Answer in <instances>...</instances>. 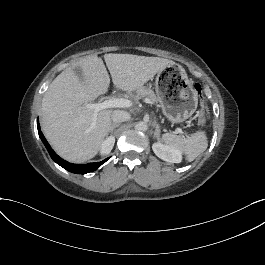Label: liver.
<instances>
[{
	"mask_svg": "<svg viewBox=\"0 0 265 265\" xmlns=\"http://www.w3.org/2000/svg\"><path fill=\"white\" fill-rule=\"evenodd\" d=\"M104 60L118 89L132 92L142 87L172 60L132 54H105ZM80 67L83 80L75 74ZM110 77L101 58L86 56L66 68L49 85L42 99V131L63 159L82 163L93 158L111 130L113 110H94L84 104L108 91Z\"/></svg>",
	"mask_w": 265,
	"mask_h": 265,
	"instance_id": "6515ba94",
	"label": "liver"
}]
</instances>
